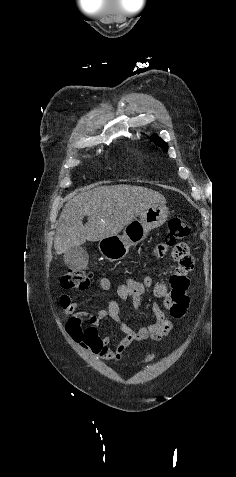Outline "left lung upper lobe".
I'll list each match as a JSON object with an SVG mask.
<instances>
[{"label": "left lung upper lobe", "mask_w": 236, "mask_h": 477, "mask_svg": "<svg viewBox=\"0 0 236 477\" xmlns=\"http://www.w3.org/2000/svg\"><path fill=\"white\" fill-rule=\"evenodd\" d=\"M152 141H153L156 145H158L159 147H161V148H163L165 151H167L168 145H167L164 141H162L161 138H159L158 136H155L154 138H152Z\"/></svg>", "instance_id": "obj_1"}]
</instances>
